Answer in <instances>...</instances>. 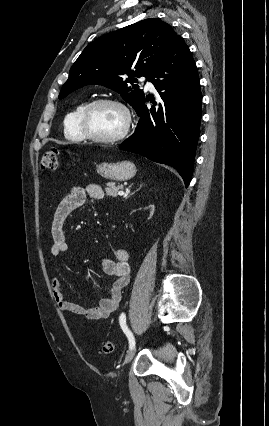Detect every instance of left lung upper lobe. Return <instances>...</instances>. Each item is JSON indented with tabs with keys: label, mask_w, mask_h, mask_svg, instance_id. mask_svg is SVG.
I'll return each instance as SVG.
<instances>
[{
	"label": "left lung upper lobe",
	"mask_w": 269,
	"mask_h": 426,
	"mask_svg": "<svg viewBox=\"0 0 269 426\" xmlns=\"http://www.w3.org/2000/svg\"><path fill=\"white\" fill-rule=\"evenodd\" d=\"M178 36L167 23L150 18L99 37L71 67L59 99L85 85L98 84L120 93L135 109L145 96L131 84L137 77L149 78Z\"/></svg>",
	"instance_id": "5c2ea615"
}]
</instances>
